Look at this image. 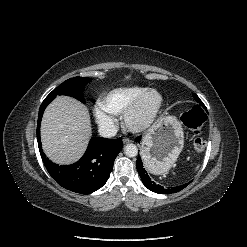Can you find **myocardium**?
<instances>
[{
  "mask_svg": "<svg viewBox=\"0 0 247 247\" xmlns=\"http://www.w3.org/2000/svg\"><path fill=\"white\" fill-rule=\"evenodd\" d=\"M149 94H155L158 97V103H157V106H156L154 112L145 121L138 123V124L134 123L132 121L133 114L135 113V111L139 107L142 100ZM162 108H163L162 95L156 89L149 88L146 91H144L143 93H141L137 98H135V100L123 112V117H122L123 124L129 131H131L133 133L143 132V131L149 129L156 122V120L158 119V117L162 111Z\"/></svg>",
  "mask_w": 247,
  "mask_h": 247,
  "instance_id": "1",
  "label": "myocardium"
}]
</instances>
